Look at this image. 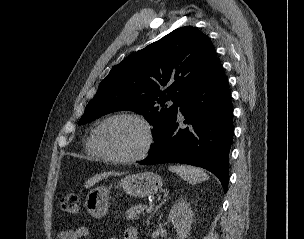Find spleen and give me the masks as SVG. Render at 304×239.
<instances>
[{
  "instance_id": "obj_1",
  "label": "spleen",
  "mask_w": 304,
  "mask_h": 239,
  "mask_svg": "<svg viewBox=\"0 0 304 239\" xmlns=\"http://www.w3.org/2000/svg\"><path fill=\"white\" fill-rule=\"evenodd\" d=\"M169 170L178 174L183 180L195 185L209 179L204 170L188 165H171Z\"/></svg>"
}]
</instances>
